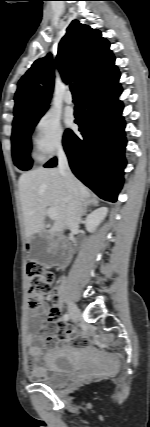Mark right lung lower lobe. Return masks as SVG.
<instances>
[{"instance_id": "right-lung-lower-lobe-1", "label": "right lung lower lobe", "mask_w": 150, "mask_h": 427, "mask_svg": "<svg viewBox=\"0 0 150 427\" xmlns=\"http://www.w3.org/2000/svg\"><path fill=\"white\" fill-rule=\"evenodd\" d=\"M119 77L114 66L80 91L75 111L80 133L68 129L63 137L73 173L99 197L111 202L117 200L123 184L122 169L126 165ZM56 164L53 158L44 166L50 168Z\"/></svg>"}]
</instances>
